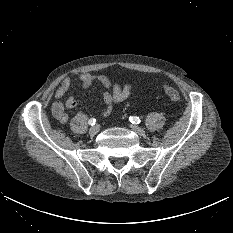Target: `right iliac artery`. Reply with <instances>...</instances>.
<instances>
[{
	"instance_id": "1",
	"label": "right iliac artery",
	"mask_w": 233,
	"mask_h": 233,
	"mask_svg": "<svg viewBox=\"0 0 233 233\" xmlns=\"http://www.w3.org/2000/svg\"><path fill=\"white\" fill-rule=\"evenodd\" d=\"M89 125L93 126L96 123V120L94 118L89 119L88 121Z\"/></svg>"
}]
</instances>
